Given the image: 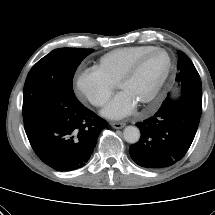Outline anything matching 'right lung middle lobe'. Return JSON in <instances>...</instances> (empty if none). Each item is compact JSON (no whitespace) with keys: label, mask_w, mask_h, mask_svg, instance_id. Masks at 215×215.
Wrapping results in <instances>:
<instances>
[{"label":"right lung middle lobe","mask_w":215,"mask_h":215,"mask_svg":"<svg viewBox=\"0 0 215 215\" xmlns=\"http://www.w3.org/2000/svg\"><path fill=\"white\" fill-rule=\"evenodd\" d=\"M93 49L60 48L39 60L30 70L23 90V118L25 131L66 108L79 104L72 80L76 68Z\"/></svg>","instance_id":"right-lung-middle-lobe-1"}]
</instances>
